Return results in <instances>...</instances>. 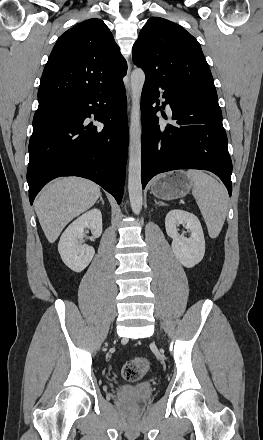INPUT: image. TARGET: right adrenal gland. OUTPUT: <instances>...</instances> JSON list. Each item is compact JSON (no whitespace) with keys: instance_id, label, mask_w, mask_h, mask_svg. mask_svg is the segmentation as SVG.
I'll list each match as a JSON object with an SVG mask.
<instances>
[{"instance_id":"2a0ac1e0","label":"right adrenal gland","mask_w":263,"mask_h":440,"mask_svg":"<svg viewBox=\"0 0 263 440\" xmlns=\"http://www.w3.org/2000/svg\"><path fill=\"white\" fill-rule=\"evenodd\" d=\"M101 201L102 204H104V200L102 198V196H100V200L98 201V203Z\"/></svg>"}]
</instances>
